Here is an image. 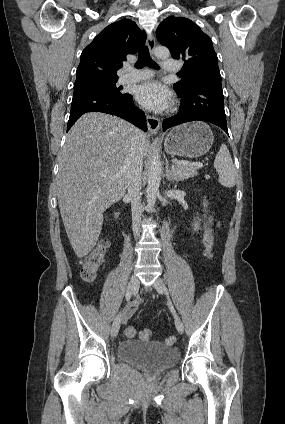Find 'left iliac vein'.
Wrapping results in <instances>:
<instances>
[{
	"mask_svg": "<svg viewBox=\"0 0 285 424\" xmlns=\"http://www.w3.org/2000/svg\"><path fill=\"white\" fill-rule=\"evenodd\" d=\"M154 287L158 291L159 294H164L167 291L166 286H165V284H164V282L161 278H157L154 281ZM175 326H176L177 331L180 334H182L183 331H184V326H183L181 319L177 315L175 316Z\"/></svg>",
	"mask_w": 285,
	"mask_h": 424,
	"instance_id": "4c4485c4",
	"label": "left iliac vein"
}]
</instances>
